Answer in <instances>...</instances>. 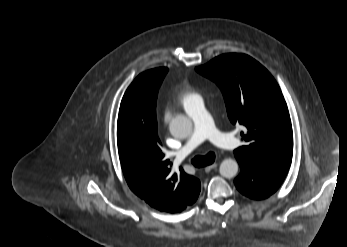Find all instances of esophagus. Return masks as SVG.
Here are the masks:
<instances>
[{
	"instance_id": "obj_1",
	"label": "esophagus",
	"mask_w": 347,
	"mask_h": 247,
	"mask_svg": "<svg viewBox=\"0 0 347 247\" xmlns=\"http://www.w3.org/2000/svg\"><path fill=\"white\" fill-rule=\"evenodd\" d=\"M217 166H218L217 163H213L211 165H208V166L205 167V171L209 172L210 170L217 168Z\"/></svg>"
}]
</instances>
